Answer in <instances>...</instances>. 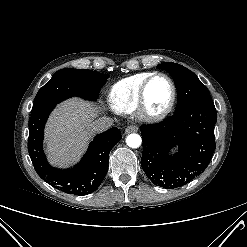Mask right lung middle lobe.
<instances>
[{"label":"right lung middle lobe","instance_id":"dd1d6c3e","mask_svg":"<svg viewBox=\"0 0 247 247\" xmlns=\"http://www.w3.org/2000/svg\"><path fill=\"white\" fill-rule=\"evenodd\" d=\"M107 75L92 70L62 69L57 71L37 93L32 113L53 106L72 96L97 100Z\"/></svg>","mask_w":247,"mask_h":247}]
</instances>
